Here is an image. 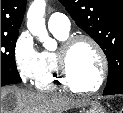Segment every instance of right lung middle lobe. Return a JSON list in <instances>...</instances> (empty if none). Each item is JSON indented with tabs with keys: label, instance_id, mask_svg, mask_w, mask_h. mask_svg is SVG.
Here are the masks:
<instances>
[{
	"label": "right lung middle lobe",
	"instance_id": "1",
	"mask_svg": "<svg viewBox=\"0 0 123 113\" xmlns=\"http://www.w3.org/2000/svg\"><path fill=\"white\" fill-rule=\"evenodd\" d=\"M17 38L18 33L1 34V86L22 81L15 62Z\"/></svg>",
	"mask_w": 123,
	"mask_h": 113
}]
</instances>
